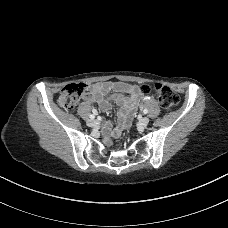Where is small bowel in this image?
<instances>
[{"label":"small bowel","mask_w":228,"mask_h":228,"mask_svg":"<svg viewBox=\"0 0 228 228\" xmlns=\"http://www.w3.org/2000/svg\"><path fill=\"white\" fill-rule=\"evenodd\" d=\"M127 93L128 95H124ZM143 98L140 88L134 84L123 82H97L91 86V91L84 97L87 103H97L102 111H109L111 101L120 106L118 114V124L112 129L110 124H105L103 128L104 134L109 137L111 135H119L127 126L128 119L135 111L138 102ZM149 100L150 97H144Z\"/></svg>","instance_id":"c3829d8e"}]
</instances>
